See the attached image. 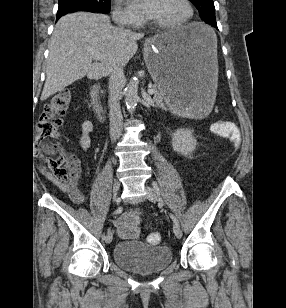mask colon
Here are the masks:
<instances>
[{"mask_svg": "<svg viewBox=\"0 0 286 308\" xmlns=\"http://www.w3.org/2000/svg\"><path fill=\"white\" fill-rule=\"evenodd\" d=\"M71 102V92L62 90L57 92L46 104L44 111L36 125V150L46 160L53 176L61 181H69L73 175L69 167L63 149L58 143L59 129L62 126V117L66 114ZM216 133L228 136L232 131L228 123L218 122L213 125ZM237 143V142H235ZM159 233H151L147 241L152 245L161 243Z\"/></svg>", "mask_w": 286, "mask_h": 308, "instance_id": "obj_1", "label": "colon"}]
</instances>
